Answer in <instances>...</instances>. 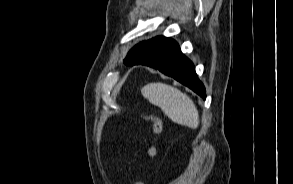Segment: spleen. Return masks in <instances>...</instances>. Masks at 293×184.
I'll use <instances>...</instances> for the list:
<instances>
[{
    "label": "spleen",
    "mask_w": 293,
    "mask_h": 184,
    "mask_svg": "<svg viewBox=\"0 0 293 184\" xmlns=\"http://www.w3.org/2000/svg\"><path fill=\"white\" fill-rule=\"evenodd\" d=\"M142 95L162 109L174 123L196 129L199 113L192 99L179 89L161 82L149 83L141 89Z\"/></svg>",
    "instance_id": "3e777b00"
}]
</instances>
